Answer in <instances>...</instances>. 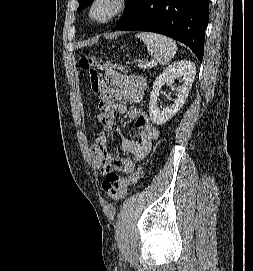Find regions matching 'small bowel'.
<instances>
[{"label":"small bowel","instance_id":"obj_1","mask_svg":"<svg viewBox=\"0 0 253 271\" xmlns=\"http://www.w3.org/2000/svg\"><path fill=\"white\" fill-rule=\"evenodd\" d=\"M105 76L107 82H104L99 75L102 88L96 94L97 120L104 131L95 134L91 153L100 173L107 178L112 173L117 175L130 173L135 164L147 156L153 142L159 136V130L151 123L145 111L139 108L127 111L128 103L141 101L146 88L145 80L141 76L125 75L115 69L105 71ZM126 113L134 121L138 140L121 138V150L129 156L124 157L118 153L113 159L108 151L106 132L112 129L115 115Z\"/></svg>","mask_w":253,"mask_h":271}]
</instances>
